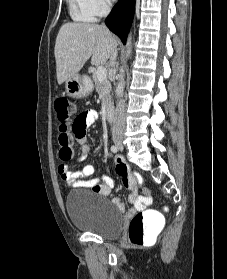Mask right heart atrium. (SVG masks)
I'll list each match as a JSON object with an SVG mask.
<instances>
[{
	"label": "right heart atrium",
	"mask_w": 227,
	"mask_h": 279,
	"mask_svg": "<svg viewBox=\"0 0 227 279\" xmlns=\"http://www.w3.org/2000/svg\"><path fill=\"white\" fill-rule=\"evenodd\" d=\"M87 5L95 16L105 14L110 5V0H86Z\"/></svg>",
	"instance_id": "obj_1"
}]
</instances>
